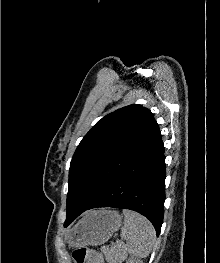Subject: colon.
I'll return each instance as SVG.
<instances>
[{
    "label": "colon",
    "mask_w": 220,
    "mask_h": 263,
    "mask_svg": "<svg viewBox=\"0 0 220 263\" xmlns=\"http://www.w3.org/2000/svg\"><path fill=\"white\" fill-rule=\"evenodd\" d=\"M74 263H88L94 261V263H103V257L100 253L85 248H77L72 253Z\"/></svg>",
    "instance_id": "1"
}]
</instances>
